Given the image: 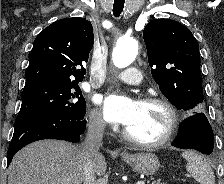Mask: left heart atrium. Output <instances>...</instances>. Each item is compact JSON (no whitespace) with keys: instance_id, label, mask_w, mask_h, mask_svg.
<instances>
[{"instance_id":"obj_1","label":"left heart atrium","mask_w":224,"mask_h":184,"mask_svg":"<svg viewBox=\"0 0 224 184\" xmlns=\"http://www.w3.org/2000/svg\"><path fill=\"white\" fill-rule=\"evenodd\" d=\"M138 101L111 95L102 100L103 113L107 121L128 126L138 111Z\"/></svg>"}]
</instances>
